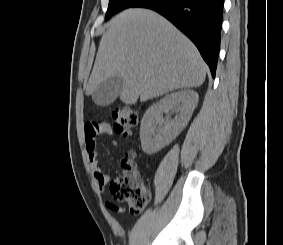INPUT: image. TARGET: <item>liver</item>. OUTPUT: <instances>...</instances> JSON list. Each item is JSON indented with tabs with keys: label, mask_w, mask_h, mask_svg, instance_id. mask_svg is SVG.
<instances>
[{
	"label": "liver",
	"mask_w": 283,
	"mask_h": 245,
	"mask_svg": "<svg viewBox=\"0 0 283 245\" xmlns=\"http://www.w3.org/2000/svg\"><path fill=\"white\" fill-rule=\"evenodd\" d=\"M207 66L195 45L158 13L130 8L103 34L86 94L120 76V100L135 104L180 88L201 86Z\"/></svg>",
	"instance_id": "6515ba94"
}]
</instances>
